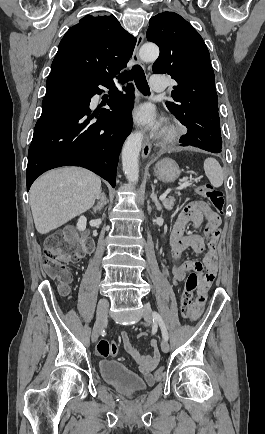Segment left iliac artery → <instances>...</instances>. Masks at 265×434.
Returning a JSON list of instances; mask_svg holds the SVG:
<instances>
[{
    "instance_id": "44dca946",
    "label": "left iliac artery",
    "mask_w": 265,
    "mask_h": 434,
    "mask_svg": "<svg viewBox=\"0 0 265 434\" xmlns=\"http://www.w3.org/2000/svg\"><path fill=\"white\" fill-rule=\"evenodd\" d=\"M153 320H155L159 324L164 340L168 341V332H167V329L165 327V324H164L160 314L157 312H154L153 313Z\"/></svg>"
}]
</instances>
